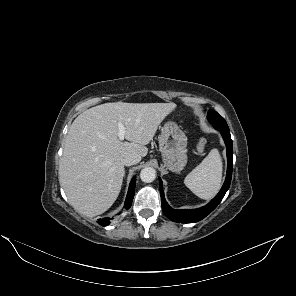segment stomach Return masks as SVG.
Wrapping results in <instances>:
<instances>
[{
  "instance_id": "0dacf381",
  "label": "stomach",
  "mask_w": 296,
  "mask_h": 296,
  "mask_svg": "<svg viewBox=\"0 0 296 296\" xmlns=\"http://www.w3.org/2000/svg\"><path fill=\"white\" fill-rule=\"evenodd\" d=\"M187 137L174 122L164 124L159 136V148L164 165L173 172H180L187 164Z\"/></svg>"
}]
</instances>
